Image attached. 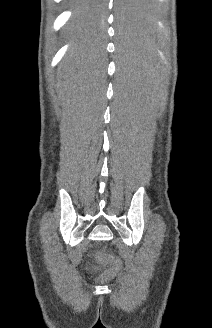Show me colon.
Wrapping results in <instances>:
<instances>
[{
    "mask_svg": "<svg viewBox=\"0 0 212 328\" xmlns=\"http://www.w3.org/2000/svg\"><path fill=\"white\" fill-rule=\"evenodd\" d=\"M97 259L99 262L108 265L110 273L114 274L121 269V261L114 255H111L105 251H100L97 254Z\"/></svg>",
    "mask_w": 212,
    "mask_h": 328,
    "instance_id": "1",
    "label": "colon"
}]
</instances>
